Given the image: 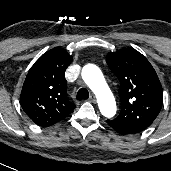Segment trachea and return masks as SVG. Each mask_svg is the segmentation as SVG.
Returning <instances> with one entry per match:
<instances>
[{
    "mask_svg": "<svg viewBox=\"0 0 171 171\" xmlns=\"http://www.w3.org/2000/svg\"><path fill=\"white\" fill-rule=\"evenodd\" d=\"M89 97V93L87 91V89L85 88H81L78 92H77V100H82V99H88Z\"/></svg>",
    "mask_w": 171,
    "mask_h": 171,
    "instance_id": "trachea-1",
    "label": "trachea"
}]
</instances>
